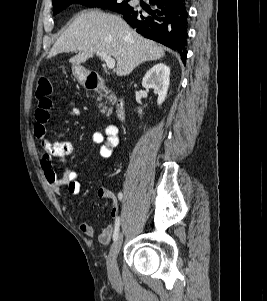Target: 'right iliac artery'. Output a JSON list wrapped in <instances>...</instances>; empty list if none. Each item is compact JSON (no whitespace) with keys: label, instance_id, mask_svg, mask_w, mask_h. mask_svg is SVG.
<instances>
[{"label":"right iliac artery","instance_id":"1","mask_svg":"<svg viewBox=\"0 0 267 301\" xmlns=\"http://www.w3.org/2000/svg\"><path fill=\"white\" fill-rule=\"evenodd\" d=\"M118 197H119V199H121V198H122V193H119V194H118ZM120 223H121V219H120V217H118V218L116 219V226H115V231H114V234H113V240H114V241H116L117 238H118Z\"/></svg>","mask_w":267,"mask_h":301}]
</instances>
